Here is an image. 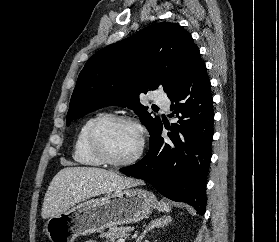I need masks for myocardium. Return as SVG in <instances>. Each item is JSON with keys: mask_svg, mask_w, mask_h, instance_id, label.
Segmentation results:
<instances>
[{"mask_svg": "<svg viewBox=\"0 0 279 242\" xmlns=\"http://www.w3.org/2000/svg\"><path fill=\"white\" fill-rule=\"evenodd\" d=\"M126 123L134 126L138 131L139 144L135 153L128 159L117 160L107 152L102 138V130L109 124ZM89 145L94 154L104 163L114 167H125L134 164L142 155L145 146V133L138 120L126 115H105L99 117L91 126L89 131Z\"/></svg>", "mask_w": 279, "mask_h": 242, "instance_id": "1", "label": "myocardium"}]
</instances>
